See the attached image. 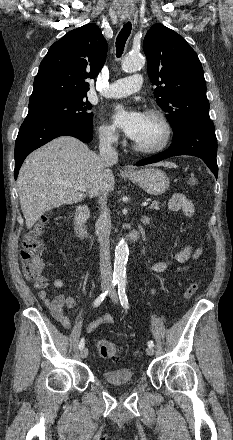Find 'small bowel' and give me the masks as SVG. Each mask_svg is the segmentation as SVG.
Returning <instances> with one entry per match:
<instances>
[{"label":"small bowel","mask_w":233,"mask_h":440,"mask_svg":"<svg viewBox=\"0 0 233 440\" xmlns=\"http://www.w3.org/2000/svg\"><path fill=\"white\" fill-rule=\"evenodd\" d=\"M168 207L171 211H182L183 214L188 218H192L195 213L193 202L182 193L172 195L169 200ZM202 250V246L193 247L191 245H186L174 256L171 261L154 263L151 265L150 270L156 273H162L165 272L172 263L182 266L180 268H185L187 263L196 260L201 255ZM46 286L47 281L43 286H40V284L37 282L34 283V287L38 290V297L49 309L52 317L64 328L70 329L71 322L69 317L64 312V307L69 310L74 309L76 305L75 299L72 297H66L63 294H58L51 298L45 289ZM53 286L56 289H61L64 286V281L62 279H56L53 282ZM113 321L114 319L110 314H105L89 323L86 330L87 332H93L100 326L112 324Z\"/></svg>","instance_id":"1"}]
</instances>
